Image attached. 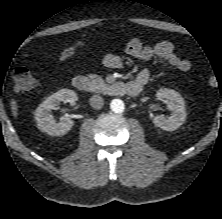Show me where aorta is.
I'll list each match as a JSON object with an SVG mask.
<instances>
[{"instance_id": "1", "label": "aorta", "mask_w": 222, "mask_h": 219, "mask_svg": "<svg viewBox=\"0 0 222 219\" xmlns=\"http://www.w3.org/2000/svg\"><path fill=\"white\" fill-rule=\"evenodd\" d=\"M110 107L114 113H122L124 111V102L120 99H113Z\"/></svg>"}]
</instances>
